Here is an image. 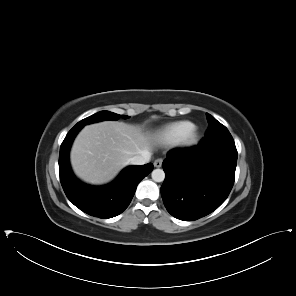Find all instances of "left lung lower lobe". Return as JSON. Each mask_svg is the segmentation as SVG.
Returning a JSON list of instances; mask_svg holds the SVG:
<instances>
[{
	"label": "left lung lower lobe",
	"instance_id": "1",
	"mask_svg": "<svg viewBox=\"0 0 296 296\" xmlns=\"http://www.w3.org/2000/svg\"><path fill=\"white\" fill-rule=\"evenodd\" d=\"M236 147L207 149L197 146L173 149L162 167L161 195L168 212L193 221L216 210L228 197L235 179Z\"/></svg>",
	"mask_w": 296,
	"mask_h": 296
}]
</instances>
